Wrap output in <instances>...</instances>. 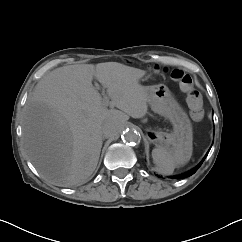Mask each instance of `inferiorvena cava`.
<instances>
[{
	"mask_svg": "<svg viewBox=\"0 0 242 242\" xmlns=\"http://www.w3.org/2000/svg\"><path fill=\"white\" fill-rule=\"evenodd\" d=\"M119 131L120 122L117 119L110 118L101 126L98 135L103 140H114L117 138Z\"/></svg>",
	"mask_w": 242,
	"mask_h": 242,
	"instance_id": "obj_1",
	"label": "inferior vena cava"
}]
</instances>
